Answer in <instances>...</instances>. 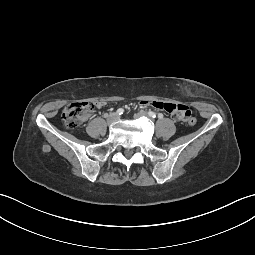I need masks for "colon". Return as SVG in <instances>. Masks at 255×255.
<instances>
[{
  "instance_id": "1",
  "label": "colon",
  "mask_w": 255,
  "mask_h": 255,
  "mask_svg": "<svg viewBox=\"0 0 255 255\" xmlns=\"http://www.w3.org/2000/svg\"><path fill=\"white\" fill-rule=\"evenodd\" d=\"M188 107V106H187ZM94 111V105L88 102H73L67 105L61 114L63 124L67 128H78ZM189 125L196 124V118L190 115L185 120Z\"/></svg>"
}]
</instances>
